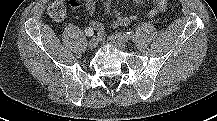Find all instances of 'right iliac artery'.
Wrapping results in <instances>:
<instances>
[{
  "instance_id": "82829eb1",
  "label": "right iliac artery",
  "mask_w": 217,
  "mask_h": 121,
  "mask_svg": "<svg viewBox=\"0 0 217 121\" xmlns=\"http://www.w3.org/2000/svg\"><path fill=\"white\" fill-rule=\"evenodd\" d=\"M97 40H102V36L98 33L96 36Z\"/></svg>"
}]
</instances>
